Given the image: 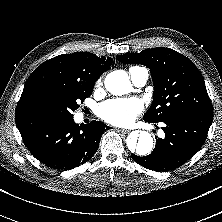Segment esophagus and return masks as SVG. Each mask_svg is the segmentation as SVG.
<instances>
[{
    "label": "esophagus",
    "instance_id": "34e87169",
    "mask_svg": "<svg viewBox=\"0 0 222 222\" xmlns=\"http://www.w3.org/2000/svg\"><path fill=\"white\" fill-rule=\"evenodd\" d=\"M117 131L120 132V133H123V134H127V133L130 132L129 130H126V129H120V128H118Z\"/></svg>",
    "mask_w": 222,
    "mask_h": 222
}]
</instances>
